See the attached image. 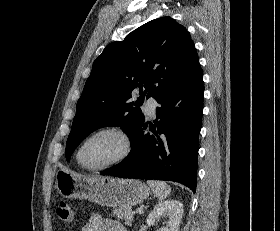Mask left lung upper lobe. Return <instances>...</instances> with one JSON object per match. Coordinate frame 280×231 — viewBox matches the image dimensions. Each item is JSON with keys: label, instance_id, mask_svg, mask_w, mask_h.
<instances>
[{"label": "left lung upper lobe", "instance_id": "obj_1", "mask_svg": "<svg viewBox=\"0 0 280 231\" xmlns=\"http://www.w3.org/2000/svg\"><path fill=\"white\" fill-rule=\"evenodd\" d=\"M200 68L184 26L171 17L151 20L123 41L106 46L94 61L66 144V159L93 131L120 126L130 138L143 123L138 107L146 93L157 98ZM145 89V91H143ZM140 90L137 101L132 92Z\"/></svg>", "mask_w": 280, "mask_h": 231}]
</instances>
